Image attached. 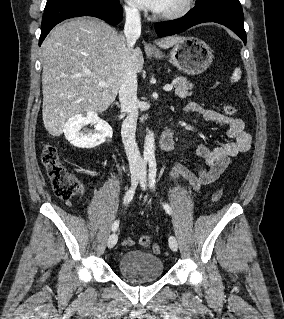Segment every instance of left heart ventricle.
I'll return each mask as SVG.
<instances>
[{"label":"left heart ventricle","instance_id":"left-heart-ventricle-1","mask_svg":"<svg viewBox=\"0 0 284 319\" xmlns=\"http://www.w3.org/2000/svg\"><path fill=\"white\" fill-rule=\"evenodd\" d=\"M182 2L183 0H164L158 13H166L175 10L181 6Z\"/></svg>","mask_w":284,"mask_h":319}]
</instances>
